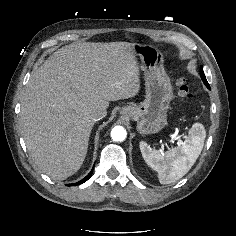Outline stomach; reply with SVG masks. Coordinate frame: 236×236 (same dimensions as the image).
Here are the masks:
<instances>
[{
    "label": "stomach",
    "mask_w": 236,
    "mask_h": 236,
    "mask_svg": "<svg viewBox=\"0 0 236 236\" xmlns=\"http://www.w3.org/2000/svg\"><path fill=\"white\" fill-rule=\"evenodd\" d=\"M134 54L141 60L146 95L140 105L125 106L120 114L136 121V130L140 134H154L167 123V110L173 98V88L163 68V55L157 47L134 44Z\"/></svg>",
    "instance_id": "stomach-1"
}]
</instances>
